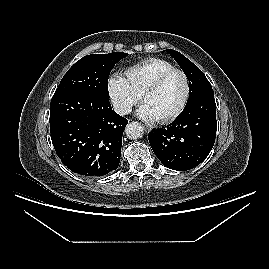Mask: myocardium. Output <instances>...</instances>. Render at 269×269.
I'll list each match as a JSON object with an SVG mask.
<instances>
[{
	"instance_id": "f54148a6",
	"label": "myocardium",
	"mask_w": 269,
	"mask_h": 269,
	"mask_svg": "<svg viewBox=\"0 0 269 269\" xmlns=\"http://www.w3.org/2000/svg\"><path fill=\"white\" fill-rule=\"evenodd\" d=\"M174 73H180L184 77L185 85H186L185 95H184L183 101L181 102L180 106L176 110H174L172 113H170L169 115H167L163 118L157 119V121L159 123H162V124H165V123H168V122L174 120L180 114H182L183 111L186 109V107L189 103V100H190V96H191V81H190L188 74L183 69L172 68L170 70H167V71L161 73L159 76H157L141 92V100L144 101L145 97L148 94H151V93L157 91L162 86V84L165 82V80Z\"/></svg>"
}]
</instances>
